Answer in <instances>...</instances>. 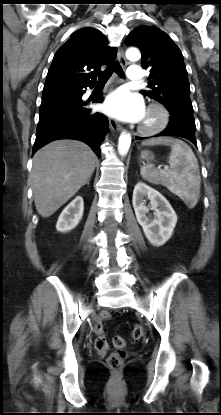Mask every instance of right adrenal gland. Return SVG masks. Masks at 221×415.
I'll return each instance as SVG.
<instances>
[{
  "instance_id": "1",
  "label": "right adrenal gland",
  "mask_w": 221,
  "mask_h": 415,
  "mask_svg": "<svg viewBox=\"0 0 221 415\" xmlns=\"http://www.w3.org/2000/svg\"><path fill=\"white\" fill-rule=\"evenodd\" d=\"M90 179H91V177L87 180V182H86L87 185L90 184Z\"/></svg>"
}]
</instances>
